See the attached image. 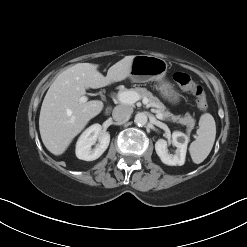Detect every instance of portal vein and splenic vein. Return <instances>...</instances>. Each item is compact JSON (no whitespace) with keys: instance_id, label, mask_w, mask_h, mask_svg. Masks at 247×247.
<instances>
[{"instance_id":"obj_1","label":"portal vein and splenic vein","mask_w":247,"mask_h":247,"mask_svg":"<svg viewBox=\"0 0 247 247\" xmlns=\"http://www.w3.org/2000/svg\"><path fill=\"white\" fill-rule=\"evenodd\" d=\"M117 98H118V101L123 103V104H134L135 102H137L140 99V96L137 93L132 92V91H124V92H119L117 95ZM79 102L80 103L87 102V97L82 96L79 99ZM143 103L147 104V106H148V99L143 98ZM156 117L160 120L164 119V116L159 112H156Z\"/></svg>"}]
</instances>
